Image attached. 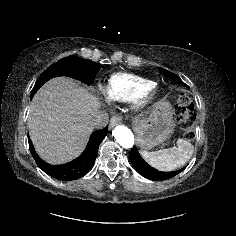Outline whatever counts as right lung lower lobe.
<instances>
[{"label": "right lung lower lobe", "instance_id": "right-lung-lower-lobe-1", "mask_svg": "<svg viewBox=\"0 0 236 236\" xmlns=\"http://www.w3.org/2000/svg\"><path fill=\"white\" fill-rule=\"evenodd\" d=\"M107 133L108 127L93 132L84 152L75 160L62 165L54 166L44 162L34 151L33 144L28 138L29 149L37 165L48 175L62 181L76 180L84 176L94 164L99 144Z\"/></svg>", "mask_w": 236, "mask_h": 236}]
</instances>
